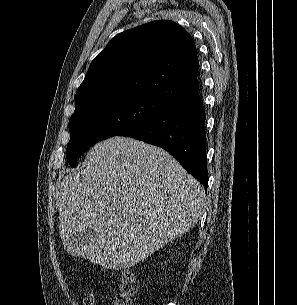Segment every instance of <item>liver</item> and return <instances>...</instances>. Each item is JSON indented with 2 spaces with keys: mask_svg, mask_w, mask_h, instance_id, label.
<instances>
[{
  "mask_svg": "<svg viewBox=\"0 0 297 305\" xmlns=\"http://www.w3.org/2000/svg\"><path fill=\"white\" fill-rule=\"evenodd\" d=\"M87 159L60 188L59 234L68 254L107 269L130 268L198 222L204 189L165 150L115 136ZM86 228L97 235L77 248L71 239Z\"/></svg>",
  "mask_w": 297,
  "mask_h": 305,
  "instance_id": "6515ba94",
  "label": "liver"
}]
</instances>
